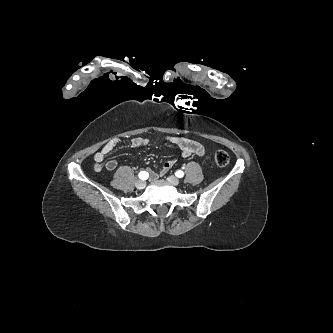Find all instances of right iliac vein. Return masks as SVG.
Wrapping results in <instances>:
<instances>
[{
  "instance_id": "right-iliac-vein-1",
  "label": "right iliac vein",
  "mask_w": 333,
  "mask_h": 333,
  "mask_svg": "<svg viewBox=\"0 0 333 333\" xmlns=\"http://www.w3.org/2000/svg\"><path fill=\"white\" fill-rule=\"evenodd\" d=\"M135 186H136L138 189H143V188H145L146 183H145L143 180H137V181L135 182Z\"/></svg>"
}]
</instances>
